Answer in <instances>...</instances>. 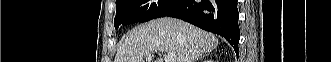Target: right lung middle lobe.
Here are the masks:
<instances>
[{
  "label": "right lung middle lobe",
  "mask_w": 331,
  "mask_h": 62,
  "mask_svg": "<svg viewBox=\"0 0 331 62\" xmlns=\"http://www.w3.org/2000/svg\"><path fill=\"white\" fill-rule=\"evenodd\" d=\"M181 0H118L116 1L115 29L120 24L146 22L162 15Z\"/></svg>",
  "instance_id": "obj_1"
}]
</instances>
